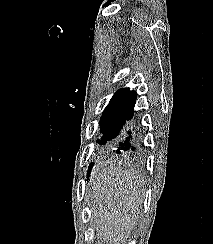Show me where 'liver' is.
<instances>
[{
    "label": "liver",
    "instance_id": "6515ba94",
    "mask_svg": "<svg viewBox=\"0 0 213 244\" xmlns=\"http://www.w3.org/2000/svg\"><path fill=\"white\" fill-rule=\"evenodd\" d=\"M90 183L96 232L120 244L137 224L145 197L144 177L120 161L108 160L93 171Z\"/></svg>",
    "mask_w": 213,
    "mask_h": 244
}]
</instances>
